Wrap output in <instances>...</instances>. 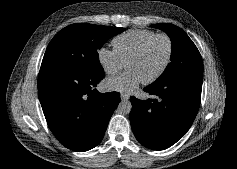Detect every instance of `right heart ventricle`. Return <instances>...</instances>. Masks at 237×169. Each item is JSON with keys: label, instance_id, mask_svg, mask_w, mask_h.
I'll return each mask as SVG.
<instances>
[{"label": "right heart ventricle", "instance_id": "e07e8e85", "mask_svg": "<svg viewBox=\"0 0 237 169\" xmlns=\"http://www.w3.org/2000/svg\"><path fill=\"white\" fill-rule=\"evenodd\" d=\"M156 34L154 31L145 29H133L117 35L112 44L123 62L133 54L140 45L150 36Z\"/></svg>", "mask_w": 237, "mask_h": 169}]
</instances>
